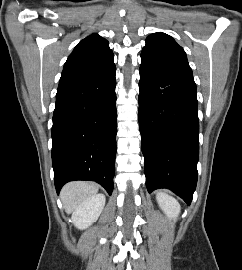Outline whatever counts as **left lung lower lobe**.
<instances>
[{
	"mask_svg": "<svg viewBox=\"0 0 242 270\" xmlns=\"http://www.w3.org/2000/svg\"><path fill=\"white\" fill-rule=\"evenodd\" d=\"M139 73L138 117L147 190L168 188L190 205L199 157L193 75L145 61Z\"/></svg>",
	"mask_w": 242,
	"mask_h": 270,
	"instance_id": "0a47b994",
	"label": "left lung lower lobe"
}]
</instances>
